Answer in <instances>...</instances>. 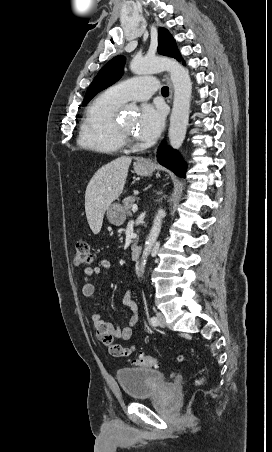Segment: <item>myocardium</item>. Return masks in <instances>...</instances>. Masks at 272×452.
<instances>
[{
    "label": "myocardium",
    "mask_w": 272,
    "mask_h": 452,
    "mask_svg": "<svg viewBox=\"0 0 272 452\" xmlns=\"http://www.w3.org/2000/svg\"><path fill=\"white\" fill-rule=\"evenodd\" d=\"M113 129L115 136L123 145H135V141L131 134L121 125V123L116 118L114 119Z\"/></svg>",
    "instance_id": "obj_1"
}]
</instances>
